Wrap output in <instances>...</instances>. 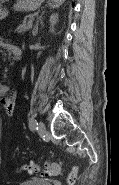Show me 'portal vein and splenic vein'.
I'll return each mask as SVG.
<instances>
[{
	"instance_id": "portal-vein-and-splenic-vein-1",
	"label": "portal vein and splenic vein",
	"mask_w": 119,
	"mask_h": 185,
	"mask_svg": "<svg viewBox=\"0 0 119 185\" xmlns=\"http://www.w3.org/2000/svg\"><path fill=\"white\" fill-rule=\"evenodd\" d=\"M38 14H39V13H38V12H36L34 15H35V16H38Z\"/></svg>"
}]
</instances>
